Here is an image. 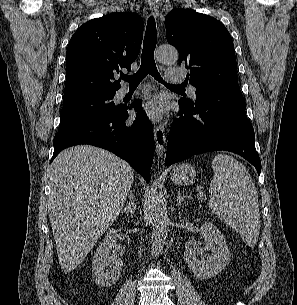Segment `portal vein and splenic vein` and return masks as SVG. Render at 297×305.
I'll return each instance as SVG.
<instances>
[{
    "mask_svg": "<svg viewBox=\"0 0 297 305\" xmlns=\"http://www.w3.org/2000/svg\"><path fill=\"white\" fill-rule=\"evenodd\" d=\"M197 198H198L199 200H204V199H206V196H205V194H204L203 192H199V193L197 194Z\"/></svg>",
    "mask_w": 297,
    "mask_h": 305,
    "instance_id": "portal-vein-and-splenic-vein-1",
    "label": "portal vein and splenic vein"
}]
</instances>
